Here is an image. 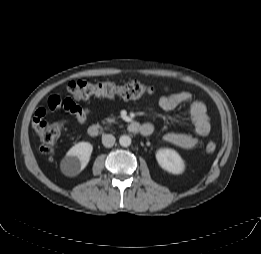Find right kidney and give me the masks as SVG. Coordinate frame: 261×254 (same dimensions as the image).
Returning <instances> with one entry per match:
<instances>
[{"label": "right kidney", "mask_w": 261, "mask_h": 254, "mask_svg": "<svg viewBox=\"0 0 261 254\" xmlns=\"http://www.w3.org/2000/svg\"><path fill=\"white\" fill-rule=\"evenodd\" d=\"M93 146L89 142H79L72 146L67 152L63 165L67 174L80 173L88 164Z\"/></svg>", "instance_id": "1"}]
</instances>
